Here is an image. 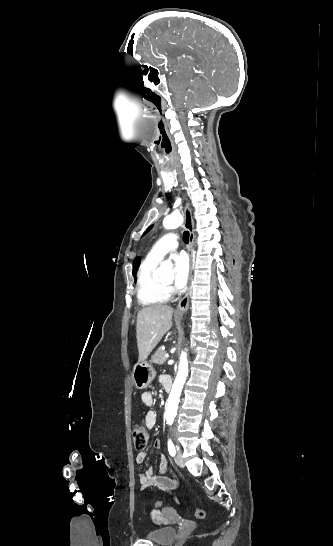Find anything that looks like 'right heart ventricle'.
I'll return each instance as SVG.
<instances>
[{"label":"right heart ventricle","instance_id":"right-heart-ventricle-1","mask_svg":"<svg viewBox=\"0 0 333 546\" xmlns=\"http://www.w3.org/2000/svg\"><path fill=\"white\" fill-rule=\"evenodd\" d=\"M159 261L146 257L141 263L137 277V298L142 306H154L168 301V290L156 275Z\"/></svg>","mask_w":333,"mask_h":546}]
</instances>
